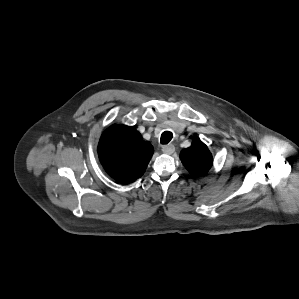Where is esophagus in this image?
I'll return each instance as SVG.
<instances>
[{
  "label": "esophagus",
  "instance_id": "obj_1",
  "mask_svg": "<svg viewBox=\"0 0 299 299\" xmlns=\"http://www.w3.org/2000/svg\"><path fill=\"white\" fill-rule=\"evenodd\" d=\"M175 151V147L172 144H168L162 147V152L167 155H171Z\"/></svg>",
  "mask_w": 299,
  "mask_h": 299
}]
</instances>
